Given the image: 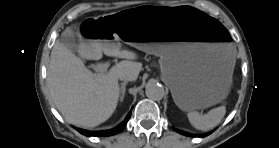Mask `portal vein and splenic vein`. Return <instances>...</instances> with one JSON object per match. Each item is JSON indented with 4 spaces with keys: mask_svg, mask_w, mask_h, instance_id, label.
<instances>
[{
    "mask_svg": "<svg viewBox=\"0 0 279 148\" xmlns=\"http://www.w3.org/2000/svg\"><path fill=\"white\" fill-rule=\"evenodd\" d=\"M109 67V63H102V64H98L94 67V70L100 74H103L105 72H107Z\"/></svg>",
    "mask_w": 279,
    "mask_h": 148,
    "instance_id": "18ae733b",
    "label": "portal vein and splenic vein"
}]
</instances>
